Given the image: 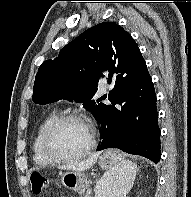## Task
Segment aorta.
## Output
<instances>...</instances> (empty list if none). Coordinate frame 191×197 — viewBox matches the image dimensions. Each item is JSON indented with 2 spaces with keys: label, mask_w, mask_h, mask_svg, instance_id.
<instances>
[{
  "label": "aorta",
  "mask_w": 191,
  "mask_h": 197,
  "mask_svg": "<svg viewBox=\"0 0 191 197\" xmlns=\"http://www.w3.org/2000/svg\"><path fill=\"white\" fill-rule=\"evenodd\" d=\"M107 183H108L107 176H104V177L101 179V181L99 182V184H98V189H99L100 192H101V196H102V194L105 193L106 190H107ZM101 196H99V197H101Z\"/></svg>",
  "instance_id": "aorta-1"
}]
</instances>
